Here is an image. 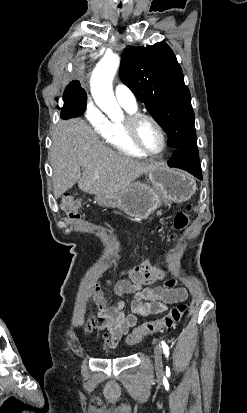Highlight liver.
<instances>
[{
	"label": "liver",
	"mask_w": 247,
	"mask_h": 413,
	"mask_svg": "<svg viewBox=\"0 0 247 413\" xmlns=\"http://www.w3.org/2000/svg\"><path fill=\"white\" fill-rule=\"evenodd\" d=\"M52 140L50 160L55 198L75 182L90 194L120 192L153 166L106 146L82 118L58 122Z\"/></svg>",
	"instance_id": "obj_1"
}]
</instances>
